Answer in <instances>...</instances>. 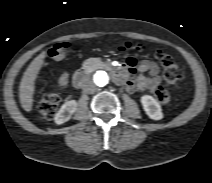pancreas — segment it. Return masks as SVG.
<instances>
[{
    "instance_id": "1",
    "label": "pancreas",
    "mask_w": 212,
    "mask_h": 183,
    "mask_svg": "<svg viewBox=\"0 0 212 183\" xmlns=\"http://www.w3.org/2000/svg\"><path fill=\"white\" fill-rule=\"evenodd\" d=\"M98 61H99L98 59H88L84 62V66H88L89 64H93V63H96Z\"/></svg>"
}]
</instances>
